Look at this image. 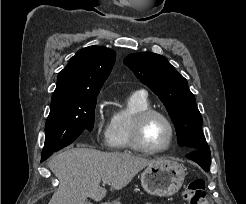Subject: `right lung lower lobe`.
Returning <instances> with one entry per match:
<instances>
[{
	"mask_svg": "<svg viewBox=\"0 0 246 204\" xmlns=\"http://www.w3.org/2000/svg\"><path fill=\"white\" fill-rule=\"evenodd\" d=\"M48 157H42L41 158V161H44V160H46Z\"/></svg>",
	"mask_w": 246,
	"mask_h": 204,
	"instance_id": "obj_1",
	"label": "right lung lower lobe"
}]
</instances>
